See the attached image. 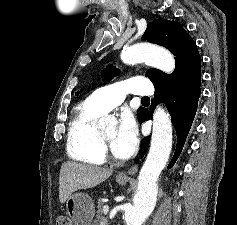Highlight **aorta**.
<instances>
[{"label":"aorta","instance_id":"obj_1","mask_svg":"<svg viewBox=\"0 0 237 225\" xmlns=\"http://www.w3.org/2000/svg\"><path fill=\"white\" fill-rule=\"evenodd\" d=\"M121 59L126 64L145 62L166 73L175 67L172 54L151 44H135L123 49ZM113 116L103 117L99 126L116 125ZM172 148V123L169 114L161 106L157 107L153 116V129L148 156L138 176L137 193L133 205L125 209L127 225H141L152 212L158 193L157 180L166 166Z\"/></svg>","mask_w":237,"mask_h":225}]
</instances>
